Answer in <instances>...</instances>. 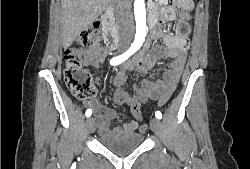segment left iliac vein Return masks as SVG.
<instances>
[{
  "label": "left iliac vein",
  "mask_w": 250,
  "mask_h": 169,
  "mask_svg": "<svg viewBox=\"0 0 250 169\" xmlns=\"http://www.w3.org/2000/svg\"><path fill=\"white\" fill-rule=\"evenodd\" d=\"M150 127L156 134V136L162 141L163 139V126L159 119L152 118L150 120Z\"/></svg>",
  "instance_id": "1"
}]
</instances>
